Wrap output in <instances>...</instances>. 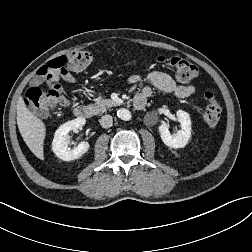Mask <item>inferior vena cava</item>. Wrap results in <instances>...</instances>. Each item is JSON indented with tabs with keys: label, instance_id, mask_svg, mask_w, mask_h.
I'll list each match as a JSON object with an SVG mask.
<instances>
[{
	"label": "inferior vena cava",
	"instance_id": "1",
	"mask_svg": "<svg viewBox=\"0 0 252 252\" xmlns=\"http://www.w3.org/2000/svg\"><path fill=\"white\" fill-rule=\"evenodd\" d=\"M103 128H110L113 124V118L111 115H105L99 120Z\"/></svg>",
	"mask_w": 252,
	"mask_h": 252
}]
</instances>
